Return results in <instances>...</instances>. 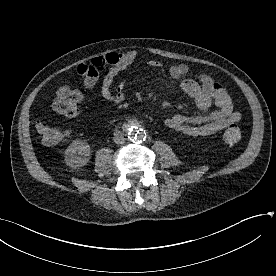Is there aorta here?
<instances>
[{"mask_svg": "<svg viewBox=\"0 0 276 276\" xmlns=\"http://www.w3.org/2000/svg\"><path fill=\"white\" fill-rule=\"evenodd\" d=\"M128 136L134 140V141H137V142H142L146 139V131L138 126V125H132L128 128Z\"/></svg>", "mask_w": 276, "mask_h": 276, "instance_id": "762f6f07", "label": "aorta"}]
</instances>
